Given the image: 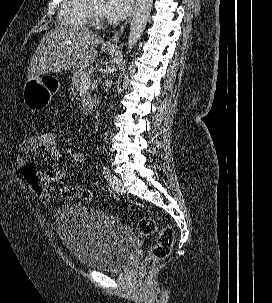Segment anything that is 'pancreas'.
<instances>
[{"label":"pancreas","mask_w":272,"mask_h":303,"mask_svg":"<svg viewBox=\"0 0 272 303\" xmlns=\"http://www.w3.org/2000/svg\"><path fill=\"white\" fill-rule=\"evenodd\" d=\"M91 71L89 68H86V69H79L77 71H75L72 75V78H71V81H72V85L73 87L79 91L80 89V85H81V82H82V79L84 77H86L87 75H90ZM90 97V94L87 93L86 95V98H89ZM84 104V102H83Z\"/></svg>","instance_id":"cf45deb5"}]
</instances>
